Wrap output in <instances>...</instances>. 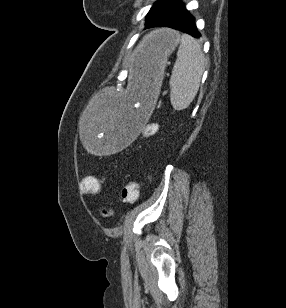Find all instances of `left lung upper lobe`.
Masks as SVG:
<instances>
[{
  "instance_id": "left-lung-upper-lobe-1",
  "label": "left lung upper lobe",
  "mask_w": 286,
  "mask_h": 308,
  "mask_svg": "<svg viewBox=\"0 0 286 308\" xmlns=\"http://www.w3.org/2000/svg\"><path fill=\"white\" fill-rule=\"evenodd\" d=\"M172 0H158L151 7L149 13L146 18V28L152 23V21L156 18L160 11L169 6Z\"/></svg>"
}]
</instances>
